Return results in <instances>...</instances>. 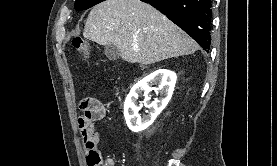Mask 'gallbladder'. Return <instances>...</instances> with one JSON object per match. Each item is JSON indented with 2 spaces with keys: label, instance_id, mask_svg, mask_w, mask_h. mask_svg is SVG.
<instances>
[{
  "label": "gallbladder",
  "instance_id": "1",
  "mask_svg": "<svg viewBox=\"0 0 277 166\" xmlns=\"http://www.w3.org/2000/svg\"><path fill=\"white\" fill-rule=\"evenodd\" d=\"M104 53L109 60L115 61L119 58L120 53L114 44H108L104 47Z\"/></svg>",
  "mask_w": 277,
  "mask_h": 166
}]
</instances>
